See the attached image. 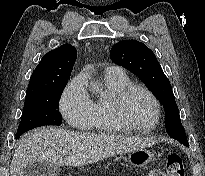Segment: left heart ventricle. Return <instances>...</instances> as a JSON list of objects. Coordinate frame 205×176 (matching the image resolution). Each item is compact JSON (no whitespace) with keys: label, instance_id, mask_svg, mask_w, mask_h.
<instances>
[{"label":"left heart ventricle","instance_id":"1","mask_svg":"<svg viewBox=\"0 0 205 176\" xmlns=\"http://www.w3.org/2000/svg\"><path fill=\"white\" fill-rule=\"evenodd\" d=\"M127 113L133 122L148 124L154 118V107L145 93L136 91L127 101Z\"/></svg>","mask_w":205,"mask_h":176}]
</instances>
